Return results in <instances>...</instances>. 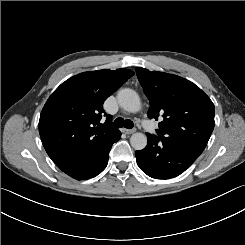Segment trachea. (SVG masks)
<instances>
[{
	"label": "trachea",
	"instance_id": "obj_1",
	"mask_svg": "<svg viewBox=\"0 0 245 245\" xmlns=\"http://www.w3.org/2000/svg\"><path fill=\"white\" fill-rule=\"evenodd\" d=\"M113 126L116 128L125 127L127 129H132L134 123L129 119H124L122 117H119L114 121Z\"/></svg>",
	"mask_w": 245,
	"mask_h": 245
}]
</instances>
